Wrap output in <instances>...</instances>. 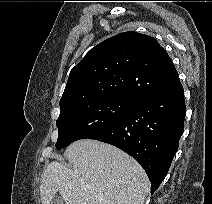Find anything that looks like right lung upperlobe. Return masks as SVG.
Returning a JSON list of instances; mask_svg holds the SVG:
<instances>
[{"label": "right lung upper lobe", "mask_w": 212, "mask_h": 204, "mask_svg": "<svg viewBox=\"0 0 212 204\" xmlns=\"http://www.w3.org/2000/svg\"><path fill=\"white\" fill-rule=\"evenodd\" d=\"M177 82L178 73L156 39L124 32L92 48L71 70L60 109L108 96L136 101Z\"/></svg>", "instance_id": "obj_1"}]
</instances>
